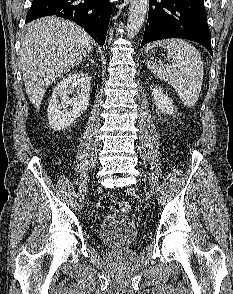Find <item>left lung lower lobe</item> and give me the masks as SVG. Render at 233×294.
I'll use <instances>...</instances> for the list:
<instances>
[{
  "instance_id": "0a47b994",
  "label": "left lung lower lobe",
  "mask_w": 233,
  "mask_h": 294,
  "mask_svg": "<svg viewBox=\"0 0 233 294\" xmlns=\"http://www.w3.org/2000/svg\"><path fill=\"white\" fill-rule=\"evenodd\" d=\"M166 38L198 42L213 55L204 0H151L141 47Z\"/></svg>"
}]
</instances>
